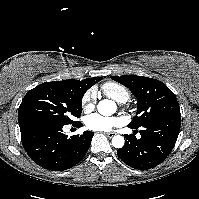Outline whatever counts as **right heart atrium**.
I'll list each match as a JSON object with an SVG mask.
<instances>
[{"mask_svg": "<svg viewBox=\"0 0 199 199\" xmlns=\"http://www.w3.org/2000/svg\"><path fill=\"white\" fill-rule=\"evenodd\" d=\"M95 93L93 90H88L82 99V106L85 110L91 109L94 106Z\"/></svg>", "mask_w": 199, "mask_h": 199, "instance_id": "right-heart-atrium-1", "label": "right heart atrium"}]
</instances>
